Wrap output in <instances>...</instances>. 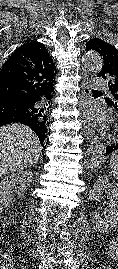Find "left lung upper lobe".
<instances>
[{"label": "left lung upper lobe", "mask_w": 118, "mask_h": 269, "mask_svg": "<svg viewBox=\"0 0 118 269\" xmlns=\"http://www.w3.org/2000/svg\"><path fill=\"white\" fill-rule=\"evenodd\" d=\"M86 50L96 51L103 57L104 65L98 76L110 78L109 89L114 99H106V102L118 111V50L111 44L97 38L91 39L86 43Z\"/></svg>", "instance_id": "1"}]
</instances>
